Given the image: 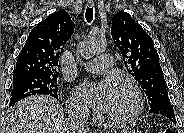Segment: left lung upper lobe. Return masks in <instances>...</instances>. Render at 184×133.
<instances>
[{"label": "left lung upper lobe", "mask_w": 184, "mask_h": 133, "mask_svg": "<svg viewBox=\"0 0 184 133\" xmlns=\"http://www.w3.org/2000/svg\"><path fill=\"white\" fill-rule=\"evenodd\" d=\"M111 34L127 71L141 85L150 107L160 102H170L152 38L126 12L113 15Z\"/></svg>", "instance_id": "1"}]
</instances>
